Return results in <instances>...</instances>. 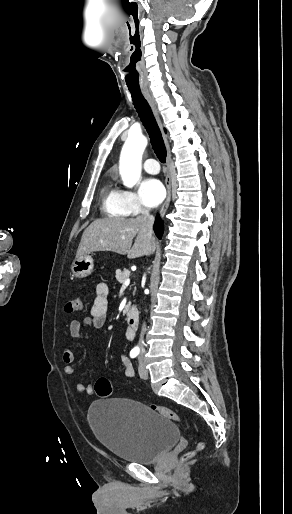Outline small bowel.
<instances>
[{
	"mask_svg": "<svg viewBox=\"0 0 292 514\" xmlns=\"http://www.w3.org/2000/svg\"><path fill=\"white\" fill-rule=\"evenodd\" d=\"M95 298L90 308V313L88 316L82 319H74L71 321L69 325V331L72 337L87 339L88 331L90 329H98L105 325L108 319V294L109 287L105 282H99L95 287ZM62 359L65 362L66 366L64 368V372L66 375L72 376L75 373V367L73 363L75 362V354L71 348H65L62 352ZM121 365L124 370V375L127 378H132L135 375L134 368L130 361L123 356L121 358ZM75 388L78 392H87L88 394H93L94 386L93 383L85 384L83 381H77L75 384Z\"/></svg>",
	"mask_w": 292,
	"mask_h": 514,
	"instance_id": "1",
	"label": "small bowel"
}]
</instances>
